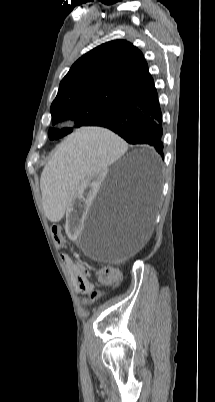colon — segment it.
Returning a JSON list of instances; mask_svg holds the SVG:
<instances>
[{"mask_svg":"<svg viewBox=\"0 0 215 402\" xmlns=\"http://www.w3.org/2000/svg\"><path fill=\"white\" fill-rule=\"evenodd\" d=\"M51 232L54 237V240H53L54 246L61 247V246H66L68 244V241L62 237L59 224L53 225L51 227ZM67 247H69V246H67ZM68 251H71V248H68ZM68 264H69V267L71 268V270L76 275H84L85 274L84 269L76 262H74L72 260H68ZM98 276H99L100 281H102L104 283L115 282L120 278V274H119L118 270L113 267L102 268L101 270H99ZM98 296H99L98 292L94 291L91 293V297L93 299L97 298Z\"/></svg>","mask_w":215,"mask_h":402,"instance_id":"1","label":"colon"}]
</instances>
